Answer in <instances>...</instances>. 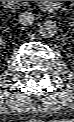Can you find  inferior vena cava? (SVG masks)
Here are the masks:
<instances>
[{
    "mask_svg": "<svg viewBox=\"0 0 74 122\" xmlns=\"http://www.w3.org/2000/svg\"><path fill=\"white\" fill-rule=\"evenodd\" d=\"M18 21L20 24H22L24 26L32 25L34 22V16H33L32 12L24 11L19 15Z\"/></svg>",
    "mask_w": 74,
    "mask_h": 122,
    "instance_id": "obj_1",
    "label": "inferior vena cava"
}]
</instances>
